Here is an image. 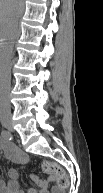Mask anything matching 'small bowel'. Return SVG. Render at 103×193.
<instances>
[{
    "label": "small bowel",
    "instance_id": "c3829d8e",
    "mask_svg": "<svg viewBox=\"0 0 103 193\" xmlns=\"http://www.w3.org/2000/svg\"><path fill=\"white\" fill-rule=\"evenodd\" d=\"M1 149L4 154L13 162L20 165H27L30 162V158L27 154L23 153L14 144L3 138L1 140ZM33 182L36 187L29 188L26 191L21 190L18 183V172L14 168L7 170V181L1 185V193H63V189L59 186L53 185L50 188V184L54 183V179L43 180L37 175H33Z\"/></svg>",
    "mask_w": 103,
    "mask_h": 193
}]
</instances>
